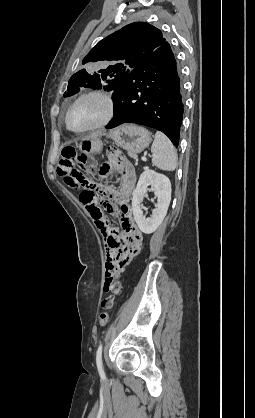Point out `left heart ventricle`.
Listing matches in <instances>:
<instances>
[{
    "mask_svg": "<svg viewBox=\"0 0 255 418\" xmlns=\"http://www.w3.org/2000/svg\"><path fill=\"white\" fill-rule=\"evenodd\" d=\"M104 113L105 103L101 98L86 97L72 108L69 124L74 129H84L100 121Z\"/></svg>",
    "mask_w": 255,
    "mask_h": 418,
    "instance_id": "left-heart-ventricle-1",
    "label": "left heart ventricle"
}]
</instances>
